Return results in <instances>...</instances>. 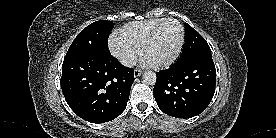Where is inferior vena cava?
I'll use <instances>...</instances> for the list:
<instances>
[{
  "label": "inferior vena cava",
  "instance_id": "602c4592",
  "mask_svg": "<svg viewBox=\"0 0 276 138\" xmlns=\"http://www.w3.org/2000/svg\"><path fill=\"white\" fill-rule=\"evenodd\" d=\"M120 63L125 67H132L136 64V58L133 56L122 57Z\"/></svg>",
  "mask_w": 276,
  "mask_h": 138
}]
</instances>
